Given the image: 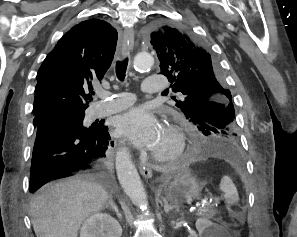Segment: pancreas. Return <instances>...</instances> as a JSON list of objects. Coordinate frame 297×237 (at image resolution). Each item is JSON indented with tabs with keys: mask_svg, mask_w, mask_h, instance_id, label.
Returning <instances> with one entry per match:
<instances>
[{
	"mask_svg": "<svg viewBox=\"0 0 297 237\" xmlns=\"http://www.w3.org/2000/svg\"><path fill=\"white\" fill-rule=\"evenodd\" d=\"M197 214L204 218L213 219L218 214V211L212 207H204Z\"/></svg>",
	"mask_w": 297,
	"mask_h": 237,
	"instance_id": "cf45deb5",
	"label": "pancreas"
}]
</instances>
